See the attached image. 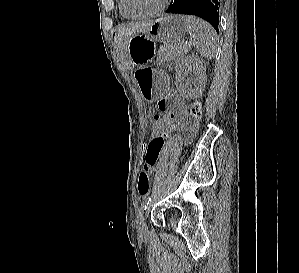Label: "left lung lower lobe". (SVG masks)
I'll return each instance as SVG.
<instances>
[{
	"mask_svg": "<svg viewBox=\"0 0 299 273\" xmlns=\"http://www.w3.org/2000/svg\"><path fill=\"white\" fill-rule=\"evenodd\" d=\"M220 3L221 0H174L166 12L199 16L218 32Z\"/></svg>",
	"mask_w": 299,
	"mask_h": 273,
	"instance_id": "left-lung-lower-lobe-1",
	"label": "left lung lower lobe"
}]
</instances>
